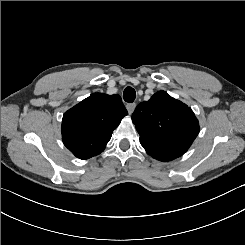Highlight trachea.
Masks as SVG:
<instances>
[{
	"instance_id": "1",
	"label": "trachea",
	"mask_w": 245,
	"mask_h": 245,
	"mask_svg": "<svg viewBox=\"0 0 245 245\" xmlns=\"http://www.w3.org/2000/svg\"><path fill=\"white\" fill-rule=\"evenodd\" d=\"M123 98L126 102L132 103L136 98V92L131 86H127L123 93Z\"/></svg>"
}]
</instances>
